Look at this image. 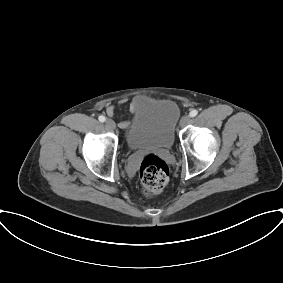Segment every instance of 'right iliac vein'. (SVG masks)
I'll list each match as a JSON object with an SVG mask.
<instances>
[{
  "mask_svg": "<svg viewBox=\"0 0 283 283\" xmlns=\"http://www.w3.org/2000/svg\"><path fill=\"white\" fill-rule=\"evenodd\" d=\"M105 125L107 128L112 129V130L116 128V124L112 119H107L105 121Z\"/></svg>",
  "mask_w": 283,
  "mask_h": 283,
  "instance_id": "1",
  "label": "right iliac vein"
}]
</instances>
